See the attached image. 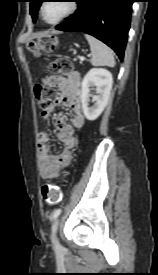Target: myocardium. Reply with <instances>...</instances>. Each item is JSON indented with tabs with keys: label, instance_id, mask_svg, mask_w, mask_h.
Segmentation results:
<instances>
[{
	"label": "myocardium",
	"instance_id": "obj_1",
	"mask_svg": "<svg viewBox=\"0 0 158 275\" xmlns=\"http://www.w3.org/2000/svg\"><path fill=\"white\" fill-rule=\"evenodd\" d=\"M47 2H48V1H44V2L41 4L39 12H40V16H41V18L43 19V21H45V22L48 23V24H52V25H53V24H58V23H60L61 21H63L64 19L70 17V16H71L72 14H74V13L77 11V9H78V3H77V1H76V0H70V1H68V3H69V8H68L67 12H66L64 15H62L61 17H59L58 19H56V20H54V21H48V20L44 17V13H43V9H44L45 4H46Z\"/></svg>",
	"mask_w": 158,
	"mask_h": 275
}]
</instances>
